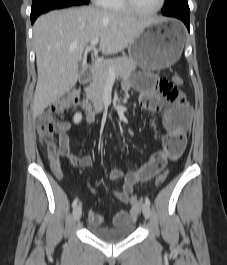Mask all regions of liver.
<instances>
[{
    "label": "liver",
    "mask_w": 227,
    "mask_h": 265,
    "mask_svg": "<svg viewBox=\"0 0 227 265\" xmlns=\"http://www.w3.org/2000/svg\"><path fill=\"white\" fill-rule=\"evenodd\" d=\"M139 19L95 7L56 10L40 16L33 26L38 80L32 104L37 117L69 92L78 80V62L87 45L100 38L103 55L125 49L148 25Z\"/></svg>",
    "instance_id": "obj_1"
}]
</instances>
